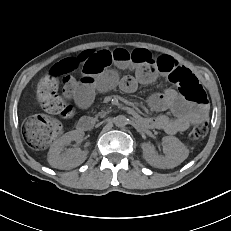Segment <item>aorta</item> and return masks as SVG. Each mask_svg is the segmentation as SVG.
<instances>
[{
    "label": "aorta",
    "instance_id": "762f6f07",
    "mask_svg": "<svg viewBox=\"0 0 231 231\" xmlns=\"http://www.w3.org/2000/svg\"><path fill=\"white\" fill-rule=\"evenodd\" d=\"M128 123V119L124 115H118L114 118V124L117 127H124Z\"/></svg>",
    "mask_w": 231,
    "mask_h": 231
}]
</instances>
